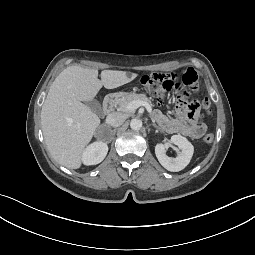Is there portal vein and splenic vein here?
Here are the masks:
<instances>
[{
    "mask_svg": "<svg viewBox=\"0 0 255 255\" xmlns=\"http://www.w3.org/2000/svg\"><path fill=\"white\" fill-rule=\"evenodd\" d=\"M140 106H144L149 113L152 111L151 106L147 102L140 101V100H134V101L130 102L127 105L126 109L128 111H134L137 108H139Z\"/></svg>",
    "mask_w": 255,
    "mask_h": 255,
    "instance_id": "18ae733b",
    "label": "portal vein and splenic vein"
}]
</instances>
